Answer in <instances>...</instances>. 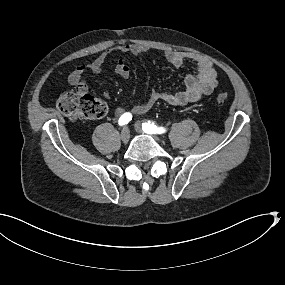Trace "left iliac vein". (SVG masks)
<instances>
[{"mask_svg":"<svg viewBox=\"0 0 285 285\" xmlns=\"http://www.w3.org/2000/svg\"><path fill=\"white\" fill-rule=\"evenodd\" d=\"M135 130L138 132V133H140V134H144V132H143V130H142V128H141V123L140 122H136L135 123ZM150 136H152V135H150ZM156 141H158V142H161L162 141V139L160 138V137H157V136H152Z\"/></svg>","mask_w":285,"mask_h":285,"instance_id":"1","label":"left iliac vein"}]
</instances>
